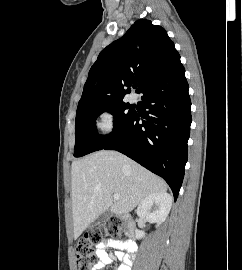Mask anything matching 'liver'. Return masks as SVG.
<instances>
[{
  "label": "liver",
  "mask_w": 242,
  "mask_h": 270,
  "mask_svg": "<svg viewBox=\"0 0 242 270\" xmlns=\"http://www.w3.org/2000/svg\"><path fill=\"white\" fill-rule=\"evenodd\" d=\"M74 238L104 211H132L153 193H165L167 184L135 161L116 151H98L76 160L71 167ZM119 194L114 200L112 195Z\"/></svg>",
  "instance_id": "liver-1"
}]
</instances>
